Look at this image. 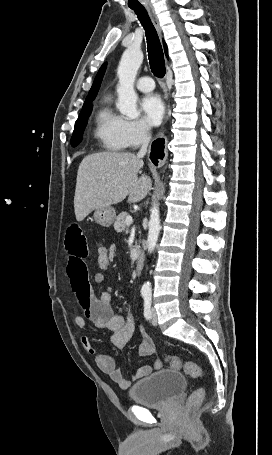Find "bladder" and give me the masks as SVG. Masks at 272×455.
Here are the masks:
<instances>
[{"label":"bladder","instance_id":"31cf9c89","mask_svg":"<svg viewBox=\"0 0 272 455\" xmlns=\"http://www.w3.org/2000/svg\"><path fill=\"white\" fill-rule=\"evenodd\" d=\"M183 374L164 369L138 381L129 390L131 400L149 407H163L173 401L185 388Z\"/></svg>","mask_w":272,"mask_h":455}]
</instances>
